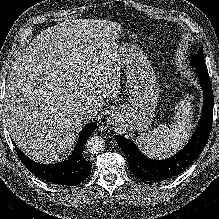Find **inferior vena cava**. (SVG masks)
<instances>
[{
	"label": "inferior vena cava",
	"instance_id": "602c4592",
	"mask_svg": "<svg viewBox=\"0 0 219 219\" xmlns=\"http://www.w3.org/2000/svg\"><path fill=\"white\" fill-rule=\"evenodd\" d=\"M80 117L83 119H92L97 116V111L88 109V108H82L80 109Z\"/></svg>",
	"mask_w": 219,
	"mask_h": 219
}]
</instances>
